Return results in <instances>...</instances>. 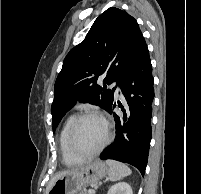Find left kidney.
<instances>
[{"label":"left kidney","mask_w":201,"mask_h":194,"mask_svg":"<svg viewBox=\"0 0 201 194\" xmlns=\"http://www.w3.org/2000/svg\"><path fill=\"white\" fill-rule=\"evenodd\" d=\"M107 194H133L131 186L126 182H119L110 187Z\"/></svg>","instance_id":"obj_1"}]
</instances>
